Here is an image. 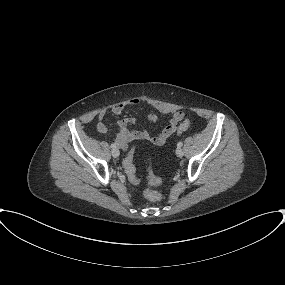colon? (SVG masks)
I'll return each mask as SVG.
<instances>
[{"label": "colon", "instance_id": "colon-1", "mask_svg": "<svg viewBox=\"0 0 285 285\" xmlns=\"http://www.w3.org/2000/svg\"><path fill=\"white\" fill-rule=\"evenodd\" d=\"M190 124L191 123L189 120H182L179 124L178 132L187 130ZM123 166H124L125 173L127 177L129 178V180L133 183H139L140 179L137 176L136 168H135L134 161H133V151L129 152L128 155L125 157L123 161ZM157 182L158 180L154 176L151 175L150 184H155ZM145 196L148 200L152 202H159L162 200V195L151 188L146 189Z\"/></svg>", "mask_w": 285, "mask_h": 285}]
</instances>
